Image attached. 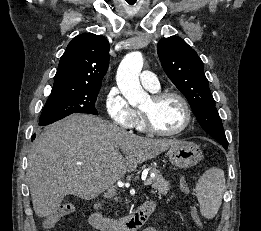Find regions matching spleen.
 Here are the masks:
<instances>
[{
  "label": "spleen",
  "instance_id": "3e777b00",
  "mask_svg": "<svg viewBox=\"0 0 261 231\" xmlns=\"http://www.w3.org/2000/svg\"><path fill=\"white\" fill-rule=\"evenodd\" d=\"M195 191L202 216L208 219L214 218L221 206L225 191L224 171L217 168L207 170L200 176Z\"/></svg>",
  "mask_w": 261,
  "mask_h": 231
}]
</instances>
